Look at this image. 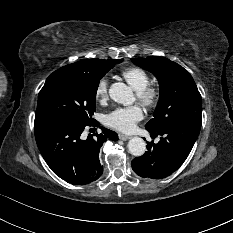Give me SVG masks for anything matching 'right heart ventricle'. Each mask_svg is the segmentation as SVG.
I'll return each mask as SVG.
<instances>
[{"label": "right heart ventricle", "mask_w": 233, "mask_h": 233, "mask_svg": "<svg viewBox=\"0 0 233 233\" xmlns=\"http://www.w3.org/2000/svg\"><path fill=\"white\" fill-rule=\"evenodd\" d=\"M123 78L129 83V85L136 91L143 90L149 85V74L139 67H130L122 71Z\"/></svg>", "instance_id": "1"}]
</instances>
